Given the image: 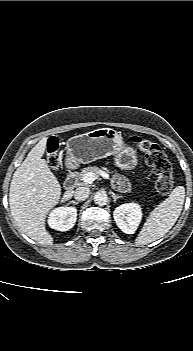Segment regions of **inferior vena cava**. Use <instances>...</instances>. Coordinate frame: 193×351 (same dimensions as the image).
Instances as JSON below:
<instances>
[{"instance_id": "obj_1", "label": "inferior vena cava", "mask_w": 193, "mask_h": 351, "mask_svg": "<svg viewBox=\"0 0 193 351\" xmlns=\"http://www.w3.org/2000/svg\"><path fill=\"white\" fill-rule=\"evenodd\" d=\"M90 190L87 187H78L74 191V198L78 201H84L89 197Z\"/></svg>"}]
</instances>
